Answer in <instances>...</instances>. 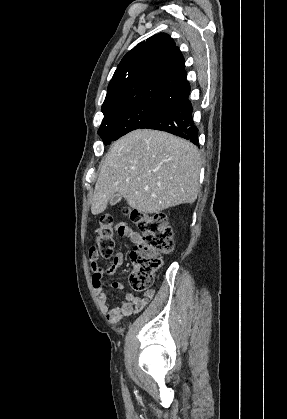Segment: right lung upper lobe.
Wrapping results in <instances>:
<instances>
[{
    "mask_svg": "<svg viewBox=\"0 0 287 419\" xmlns=\"http://www.w3.org/2000/svg\"><path fill=\"white\" fill-rule=\"evenodd\" d=\"M189 94L184 58L174 40L159 33L123 57L109 83L102 112L142 103L167 106Z\"/></svg>",
    "mask_w": 287,
    "mask_h": 419,
    "instance_id": "right-lung-upper-lobe-1",
    "label": "right lung upper lobe"
}]
</instances>
